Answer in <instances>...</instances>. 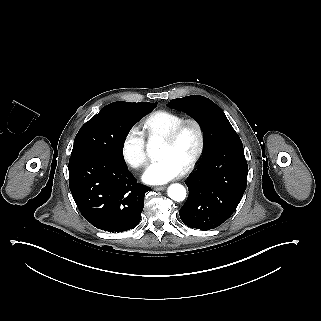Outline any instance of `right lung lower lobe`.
I'll use <instances>...</instances> for the list:
<instances>
[{"mask_svg":"<svg viewBox=\"0 0 321 321\" xmlns=\"http://www.w3.org/2000/svg\"><path fill=\"white\" fill-rule=\"evenodd\" d=\"M69 187L82 216L108 232L135 228L151 190L137 183L125 162L95 154L70 157Z\"/></svg>","mask_w":321,"mask_h":321,"instance_id":"right-lung-lower-lobe-1","label":"right lung lower lobe"}]
</instances>
